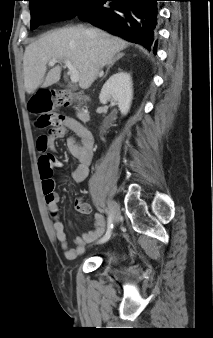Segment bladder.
<instances>
[{
	"label": "bladder",
	"instance_id": "obj_1",
	"mask_svg": "<svg viewBox=\"0 0 213 338\" xmlns=\"http://www.w3.org/2000/svg\"><path fill=\"white\" fill-rule=\"evenodd\" d=\"M118 253L114 248H107L103 253V263L106 265H115L117 263Z\"/></svg>",
	"mask_w": 213,
	"mask_h": 338
}]
</instances>
